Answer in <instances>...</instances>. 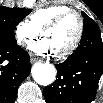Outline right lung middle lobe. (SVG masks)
<instances>
[{"instance_id": "right-lung-middle-lobe-1", "label": "right lung middle lobe", "mask_w": 103, "mask_h": 103, "mask_svg": "<svg viewBox=\"0 0 103 103\" xmlns=\"http://www.w3.org/2000/svg\"><path fill=\"white\" fill-rule=\"evenodd\" d=\"M30 12L31 9L0 7V42L15 43V27Z\"/></svg>"}]
</instances>
